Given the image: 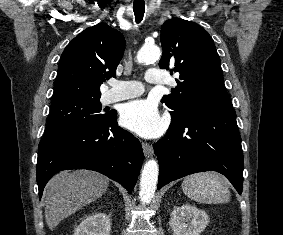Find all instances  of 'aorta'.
Masks as SVG:
<instances>
[{
	"label": "aorta",
	"instance_id": "1",
	"mask_svg": "<svg viewBox=\"0 0 283 235\" xmlns=\"http://www.w3.org/2000/svg\"><path fill=\"white\" fill-rule=\"evenodd\" d=\"M161 55L160 48L155 45L144 46L137 53L139 63L156 61ZM158 163L156 160H148L141 172L139 198L142 203H150L154 197L158 181Z\"/></svg>",
	"mask_w": 283,
	"mask_h": 235
}]
</instances>
